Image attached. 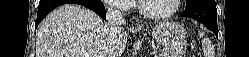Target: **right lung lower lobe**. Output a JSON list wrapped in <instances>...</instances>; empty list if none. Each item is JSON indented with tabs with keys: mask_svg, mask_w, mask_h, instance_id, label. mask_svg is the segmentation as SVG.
Listing matches in <instances>:
<instances>
[{
	"mask_svg": "<svg viewBox=\"0 0 249 57\" xmlns=\"http://www.w3.org/2000/svg\"><path fill=\"white\" fill-rule=\"evenodd\" d=\"M66 3H75L83 5L93 10L103 19L106 20L105 7L101 3V1L98 0H40L38 6L37 20L35 23L36 27L46 17V15L50 13L54 8Z\"/></svg>",
	"mask_w": 249,
	"mask_h": 57,
	"instance_id": "98d812e1",
	"label": "right lung lower lobe"
}]
</instances>
